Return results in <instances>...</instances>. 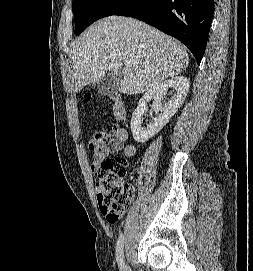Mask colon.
<instances>
[{
	"label": "colon",
	"instance_id": "colon-1",
	"mask_svg": "<svg viewBox=\"0 0 253 271\" xmlns=\"http://www.w3.org/2000/svg\"><path fill=\"white\" fill-rule=\"evenodd\" d=\"M108 100L112 104L116 118L125 117V106L118 94L102 95L94 89L85 94V99L93 97ZM127 163L122 157H107L101 161L96 176L98 203L110 223L119 221L134 196L132 185L124 182Z\"/></svg>",
	"mask_w": 253,
	"mask_h": 271
}]
</instances>
